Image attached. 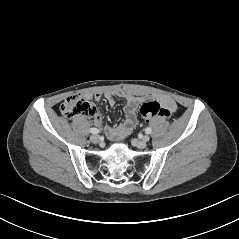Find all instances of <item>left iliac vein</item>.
<instances>
[{
    "label": "left iliac vein",
    "mask_w": 239,
    "mask_h": 239,
    "mask_svg": "<svg viewBox=\"0 0 239 239\" xmlns=\"http://www.w3.org/2000/svg\"><path fill=\"white\" fill-rule=\"evenodd\" d=\"M150 137L148 135L144 136L141 140H134V144L140 148L143 149L147 146V142L149 141Z\"/></svg>",
    "instance_id": "left-iliac-vein-1"
}]
</instances>
